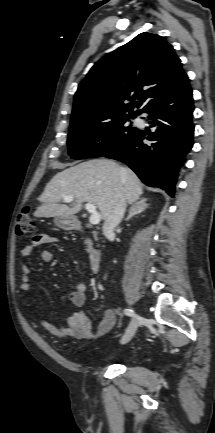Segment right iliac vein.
<instances>
[{
	"label": "right iliac vein",
	"mask_w": 215,
	"mask_h": 433,
	"mask_svg": "<svg viewBox=\"0 0 215 433\" xmlns=\"http://www.w3.org/2000/svg\"><path fill=\"white\" fill-rule=\"evenodd\" d=\"M139 321H140V317L138 315L134 316V318L132 319L131 323L129 324L125 334L123 335V337L121 339V344H126L133 338V336L135 335V333L137 331Z\"/></svg>",
	"instance_id": "63e3f726"
}]
</instances>
